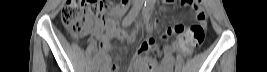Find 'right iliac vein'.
<instances>
[{"instance_id":"obj_1","label":"right iliac vein","mask_w":267,"mask_h":72,"mask_svg":"<svg viewBox=\"0 0 267 72\" xmlns=\"http://www.w3.org/2000/svg\"><path fill=\"white\" fill-rule=\"evenodd\" d=\"M98 69H99V62L97 61V62H95V63L93 64V72H97Z\"/></svg>"}]
</instances>
